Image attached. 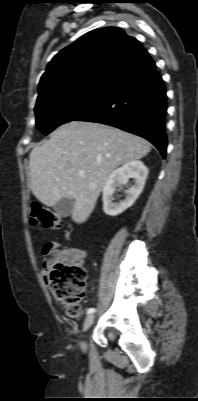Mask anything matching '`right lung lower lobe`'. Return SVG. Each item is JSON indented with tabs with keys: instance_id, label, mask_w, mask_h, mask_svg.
<instances>
[{
	"instance_id": "obj_1",
	"label": "right lung lower lobe",
	"mask_w": 198,
	"mask_h": 401,
	"mask_svg": "<svg viewBox=\"0 0 198 401\" xmlns=\"http://www.w3.org/2000/svg\"><path fill=\"white\" fill-rule=\"evenodd\" d=\"M166 99L163 80L148 55L111 82L102 98L74 120L103 123L141 136L165 158Z\"/></svg>"
}]
</instances>
